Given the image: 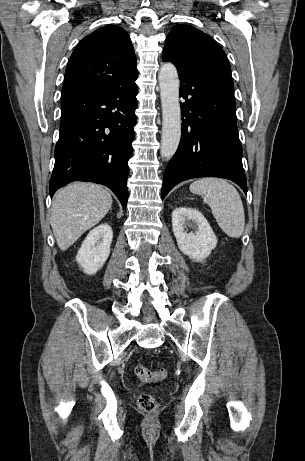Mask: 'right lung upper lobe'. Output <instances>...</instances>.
Wrapping results in <instances>:
<instances>
[{
  "label": "right lung upper lobe",
  "mask_w": 305,
  "mask_h": 461,
  "mask_svg": "<svg viewBox=\"0 0 305 461\" xmlns=\"http://www.w3.org/2000/svg\"><path fill=\"white\" fill-rule=\"evenodd\" d=\"M138 77L131 40L119 26H106L86 36L68 62L62 99L105 92Z\"/></svg>",
  "instance_id": "cb5924a9"
}]
</instances>
